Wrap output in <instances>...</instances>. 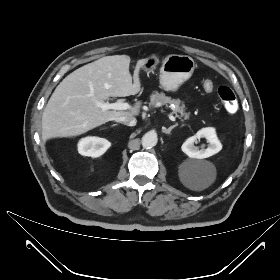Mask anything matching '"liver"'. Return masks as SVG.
Instances as JSON below:
<instances>
[{
    "label": "liver",
    "instance_id": "1",
    "mask_svg": "<svg viewBox=\"0 0 280 280\" xmlns=\"http://www.w3.org/2000/svg\"><path fill=\"white\" fill-rule=\"evenodd\" d=\"M130 60L128 55L106 56L65 77L44 109L43 140L81 135L117 117L137 116L141 102L129 111H103L95 104L109 97H126L140 92L139 71L146 59L137 61L133 77L129 72Z\"/></svg>",
    "mask_w": 280,
    "mask_h": 280
}]
</instances>
